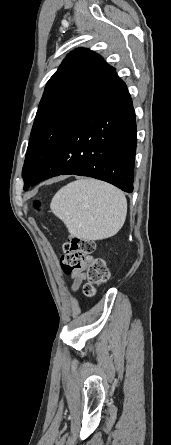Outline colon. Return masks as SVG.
<instances>
[{"label": "colon", "mask_w": 171, "mask_h": 445, "mask_svg": "<svg viewBox=\"0 0 171 445\" xmlns=\"http://www.w3.org/2000/svg\"><path fill=\"white\" fill-rule=\"evenodd\" d=\"M35 208L40 209L39 202ZM64 254L61 257V267L66 274L74 272L85 273L83 293L87 297L96 295L98 288L109 277V272L103 259L93 256L95 244L89 240L71 237L63 246Z\"/></svg>", "instance_id": "obj_1"}]
</instances>
